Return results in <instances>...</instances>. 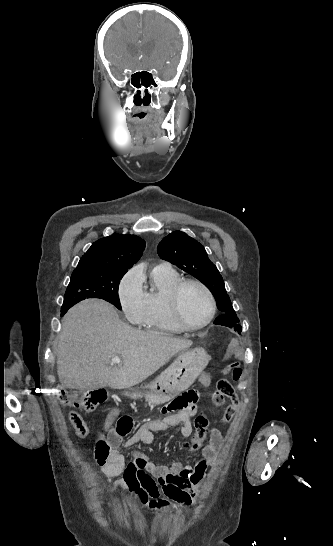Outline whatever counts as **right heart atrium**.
Instances as JSON below:
<instances>
[{
    "mask_svg": "<svg viewBox=\"0 0 333 546\" xmlns=\"http://www.w3.org/2000/svg\"><path fill=\"white\" fill-rule=\"evenodd\" d=\"M118 301L125 318L140 324L145 314V299L142 278L136 269L129 270L118 286Z\"/></svg>",
    "mask_w": 333,
    "mask_h": 546,
    "instance_id": "obj_1",
    "label": "right heart atrium"
}]
</instances>
